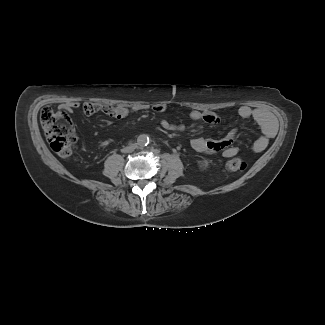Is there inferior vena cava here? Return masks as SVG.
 Wrapping results in <instances>:
<instances>
[{"label": "inferior vena cava", "mask_w": 325, "mask_h": 325, "mask_svg": "<svg viewBox=\"0 0 325 325\" xmlns=\"http://www.w3.org/2000/svg\"><path fill=\"white\" fill-rule=\"evenodd\" d=\"M135 148H136V146L134 144H132L127 147H124L121 151L123 153H131L132 151H134Z\"/></svg>", "instance_id": "602c4592"}]
</instances>
